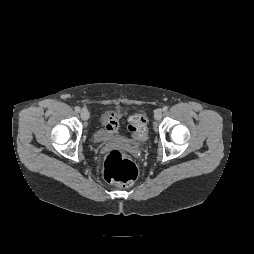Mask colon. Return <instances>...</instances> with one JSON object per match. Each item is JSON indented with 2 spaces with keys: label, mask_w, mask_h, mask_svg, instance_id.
<instances>
[{
  "label": "colon",
  "mask_w": 254,
  "mask_h": 254,
  "mask_svg": "<svg viewBox=\"0 0 254 254\" xmlns=\"http://www.w3.org/2000/svg\"><path fill=\"white\" fill-rule=\"evenodd\" d=\"M129 131L136 139H144L147 132L146 116L142 113L134 114L130 120ZM103 174L109 182L128 186L137 179L138 169L123 151L112 149L104 158Z\"/></svg>",
  "instance_id": "obj_1"
}]
</instances>
